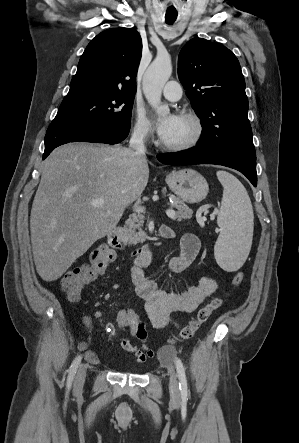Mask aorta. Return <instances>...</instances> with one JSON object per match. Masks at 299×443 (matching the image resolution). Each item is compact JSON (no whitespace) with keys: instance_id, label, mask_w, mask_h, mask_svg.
Wrapping results in <instances>:
<instances>
[{"instance_id":"obj_1","label":"aorta","mask_w":299,"mask_h":443,"mask_svg":"<svg viewBox=\"0 0 299 443\" xmlns=\"http://www.w3.org/2000/svg\"><path fill=\"white\" fill-rule=\"evenodd\" d=\"M172 74L171 59L168 55L157 56L143 77V92L158 116L170 113L167 105L161 102L162 89Z\"/></svg>"}]
</instances>
